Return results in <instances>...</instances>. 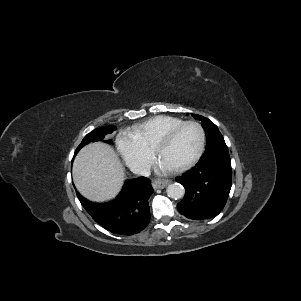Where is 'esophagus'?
Instances as JSON below:
<instances>
[{"label":"esophagus","instance_id":"34e87169","mask_svg":"<svg viewBox=\"0 0 301 301\" xmlns=\"http://www.w3.org/2000/svg\"><path fill=\"white\" fill-rule=\"evenodd\" d=\"M170 183V180L155 181L152 185L154 189H163Z\"/></svg>","mask_w":301,"mask_h":301}]
</instances>
